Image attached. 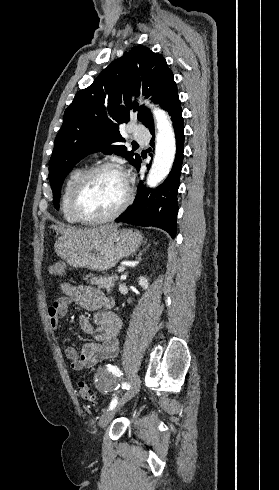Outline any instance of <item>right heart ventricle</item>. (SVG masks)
I'll return each instance as SVG.
<instances>
[{
    "label": "right heart ventricle",
    "instance_id": "right-heart-ventricle-1",
    "mask_svg": "<svg viewBox=\"0 0 279 490\" xmlns=\"http://www.w3.org/2000/svg\"><path fill=\"white\" fill-rule=\"evenodd\" d=\"M84 171L85 170L83 167H76L72 169L70 173L67 175L62 187L61 203H60L61 213L63 219L67 223L72 225L82 224V222L78 220V218L73 212L72 195H73L75 185Z\"/></svg>",
    "mask_w": 279,
    "mask_h": 490
}]
</instances>
